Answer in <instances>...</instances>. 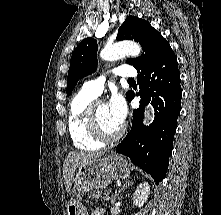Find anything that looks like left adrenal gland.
I'll list each match as a JSON object with an SVG mask.
<instances>
[{
	"label": "left adrenal gland",
	"instance_id": "left-adrenal-gland-1",
	"mask_svg": "<svg viewBox=\"0 0 221 215\" xmlns=\"http://www.w3.org/2000/svg\"><path fill=\"white\" fill-rule=\"evenodd\" d=\"M131 184H132V181H129V180L125 181V182L123 183L122 187L118 190V192H117V191L115 192L114 196L111 198V202H114L115 199H116V197L118 196V194H119L122 190H124L125 188L129 187Z\"/></svg>",
	"mask_w": 221,
	"mask_h": 215
}]
</instances>
